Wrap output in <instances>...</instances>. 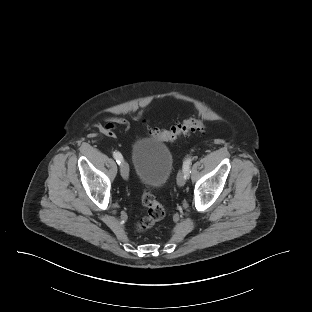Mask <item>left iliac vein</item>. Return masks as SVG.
Here are the masks:
<instances>
[{"label": "left iliac vein", "instance_id": "obj_1", "mask_svg": "<svg viewBox=\"0 0 312 312\" xmlns=\"http://www.w3.org/2000/svg\"><path fill=\"white\" fill-rule=\"evenodd\" d=\"M187 179L186 173L182 170L177 175V184L178 186L182 187L185 185Z\"/></svg>", "mask_w": 312, "mask_h": 312}]
</instances>
